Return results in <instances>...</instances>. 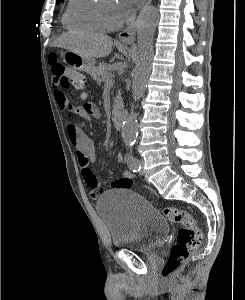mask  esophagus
Instances as JSON below:
<instances>
[{"label": "esophagus", "mask_w": 245, "mask_h": 300, "mask_svg": "<svg viewBox=\"0 0 245 300\" xmlns=\"http://www.w3.org/2000/svg\"><path fill=\"white\" fill-rule=\"evenodd\" d=\"M152 0H143L141 11L151 4ZM139 17L135 22L130 24L125 30L119 33L118 39L121 42H133L135 39L137 27H138Z\"/></svg>", "instance_id": "1"}]
</instances>
